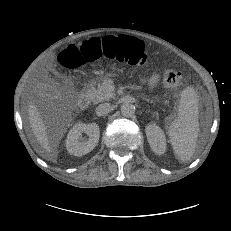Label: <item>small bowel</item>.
I'll return each instance as SVG.
<instances>
[{"label": "small bowel", "instance_id": "c3829d8e", "mask_svg": "<svg viewBox=\"0 0 231 231\" xmlns=\"http://www.w3.org/2000/svg\"><path fill=\"white\" fill-rule=\"evenodd\" d=\"M157 80H158L157 75H154V76L150 79V85H151V86L155 85L156 82H157Z\"/></svg>", "mask_w": 231, "mask_h": 231}]
</instances>
